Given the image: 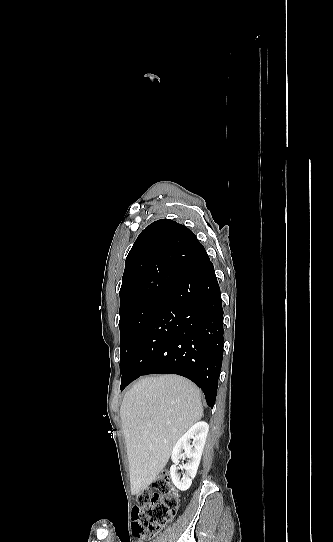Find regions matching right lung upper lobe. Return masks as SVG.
Instances as JSON below:
<instances>
[{"mask_svg":"<svg viewBox=\"0 0 333 542\" xmlns=\"http://www.w3.org/2000/svg\"><path fill=\"white\" fill-rule=\"evenodd\" d=\"M169 248L195 253L204 247L192 231L175 221L161 219L147 226L126 258L119 311L153 294L168 293L185 277L161 260L160 251Z\"/></svg>","mask_w":333,"mask_h":542,"instance_id":"cb5924a9","label":"right lung upper lobe"}]
</instances>
